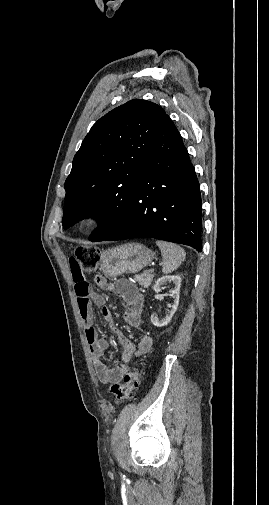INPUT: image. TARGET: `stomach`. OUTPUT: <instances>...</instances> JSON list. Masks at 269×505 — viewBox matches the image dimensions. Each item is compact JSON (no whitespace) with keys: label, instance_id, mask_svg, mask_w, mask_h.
<instances>
[{"label":"stomach","instance_id":"obj_1","mask_svg":"<svg viewBox=\"0 0 269 505\" xmlns=\"http://www.w3.org/2000/svg\"><path fill=\"white\" fill-rule=\"evenodd\" d=\"M154 259V252L140 243H126L101 253L100 269L114 278L124 273H137Z\"/></svg>","mask_w":269,"mask_h":505}]
</instances>
